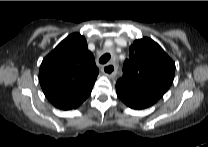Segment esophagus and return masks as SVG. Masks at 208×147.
Masks as SVG:
<instances>
[{
  "instance_id": "esophagus-1",
  "label": "esophagus",
  "mask_w": 208,
  "mask_h": 147,
  "mask_svg": "<svg viewBox=\"0 0 208 147\" xmlns=\"http://www.w3.org/2000/svg\"><path fill=\"white\" fill-rule=\"evenodd\" d=\"M102 71L106 76L110 78H113L116 75V67L113 63H108L104 65Z\"/></svg>"
}]
</instances>
